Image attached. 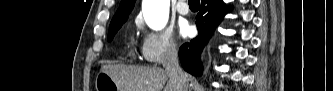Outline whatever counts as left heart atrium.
Instances as JSON below:
<instances>
[{"label":"left heart atrium","instance_id":"39dd6f15","mask_svg":"<svg viewBox=\"0 0 333 91\" xmlns=\"http://www.w3.org/2000/svg\"><path fill=\"white\" fill-rule=\"evenodd\" d=\"M180 32L183 37H188L192 34V28L188 23H184L180 27Z\"/></svg>","mask_w":333,"mask_h":91}]
</instances>
